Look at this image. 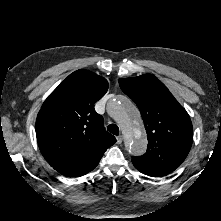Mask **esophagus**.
<instances>
[{"label":"esophagus","instance_id":"1","mask_svg":"<svg viewBox=\"0 0 221 221\" xmlns=\"http://www.w3.org/2000/svg\"><path fill=\"white\" fill-rule=\"evenodd\" d=\"M117 144H121L123 141V137L121 135L117 136Z\"/></svg>","mask_w":221,"mask_h":221}]
</instances>
